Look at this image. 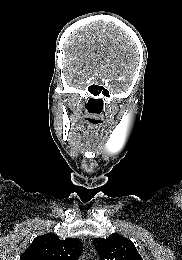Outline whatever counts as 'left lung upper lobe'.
Wrapping results in <instances>:
<instances>
[{
  "label": "left lung upper lobe",
  "mask_w": 182,
  "mask_h": 260,
  "mask_svg": "<svg viewBox=\"0 0 182 260\" xmlns=\"http://www.w3.org/2000/svg\"><path fill=\"white\" fill-rule=\"evenodd\" d=\"M93 243L101 260H143L135 245L119 234L95 238Z\"/></svg>",
  "instance_id": "obj_1"
}]
</instances>
